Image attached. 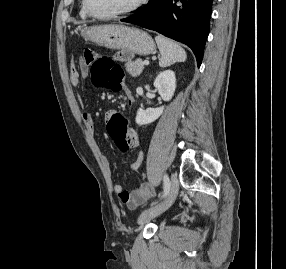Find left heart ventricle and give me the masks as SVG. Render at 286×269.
<instances>
[{
  "mask_svg": "<svg viewBox=\"0 0 286 269\" xmlns=\"http://www.w3.org/2000/svg\"><path fill=\"white\" fill-rule=\"evenodd\" d=\"M137 0H89L91 10L100 15L111 14L130 7Z\"/></svg>",
  "mask_w": 286,
  "mask_h": 269,
  "instance_id": "b2bd125f",
  "label": "left heart ventricle"
}]
</instances>
